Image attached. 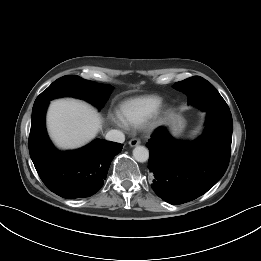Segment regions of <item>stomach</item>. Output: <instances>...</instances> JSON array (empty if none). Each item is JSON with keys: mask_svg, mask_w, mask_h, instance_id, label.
<instances>
[{"mask_svg": "<svg viewBox=\"0 0 261 261\" xmlns=\"http://www.w3.org/2000/svg\"><path fill=\"white\" fill-rule=\"evenodd\" d=\"M166 123L170 125L171 133L175 137L181 136L185 128V120L181 115L169 114L166 118Z\"/></svg>", "mask_w": 261, "mask_h": 261, "instance_id": "obj_1", "label": "stomach"}]
</instances>
